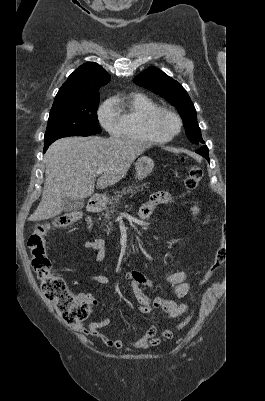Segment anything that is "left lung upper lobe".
Wrapping results in <instances>:
<instances>
[{"label":"left lung upper lobe","mask_w":265,"mask_h":401,"mask_svg":"<svg viewBox=\"0 0 265 401\" xmlns=\"http://www.w3.org/2000/svg\"><path fill=\"white\" fill-rule=\"evenodd\" d=\"M134 82L165 98L169 103L174 105L182 117L189 140L191 142L204 143L197 123L195 107L180 83L163 71L153 67L148 68L135 77Z\"/></svg>","instance_id":"obj_1"}]
</instances>
